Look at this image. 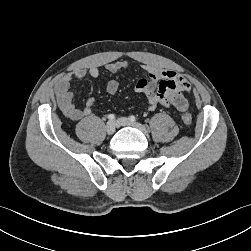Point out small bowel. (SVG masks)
Masks as SVG:
<instances>
[{
  "label": "small bowel",
  "instance_id": "c3829d8e",
  "mask_svg": "<svg viewBox=\"0 0 251 251\" xmlns=\"http://www.w3.org/2000/svg\"><path fill=\"white\" fill-rule=\"evenodd\" d=\"M127 68L128 64L125 61H114L106 65L110 73H117ZM142 68L146 72V77L137 82L135 89L146 97L149 110H155L161 105L173 107L180 112L187 111L188 102L183 93L190 92L191 84L182 74L149 64L143 65ZM88 75L97 78L100 75L99 68L92 66L88 70L77 69L61 77L55 86L59 109L72 121H78L92 113L95 99L89 97L83 108H77L73 102L74 93L71 89L73 79L83 80ZM118 89V81L112 79L107 82L106 91L109 94H115Z\"/></svg>",
  "mask_w": 251,
  "mask_h": 251
}]
</instances>
